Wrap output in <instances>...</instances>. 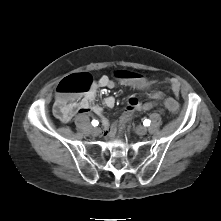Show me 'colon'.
I'll return each instance as SVG.
<instances>
[{
  "instance_id": "obj_1",
  "label": "colon",
  "mask_w": 221,
  "mask_h": 221,
  "mask_svg": "<svg viewBox=\"0 0 221 221\" xmlns=\"http://www.w3.org/2000/svg\"><path fill=\"white\" fill-rule=\"evenodd\" d=\"M114 79L119 83H125L128 87L136 88L140 91H148L151 88V81L148 78L125 69H117L114 72ZM92 85L93 78L89 73L75 74L62 80L57 87L54 105L56 117L62 122L70 121L73 117V103L80 94L89 91ZM161 105L164 109L171 110L173 117H178L181 114L180 103L177 100L170 99L169 96L158 95L151 102L137 105L131 110V113L122 116L118 121L116 133L124 135L127 125L133 122L135 117L151 109H157Z\"/></svg>"
}]
</instances>
